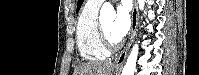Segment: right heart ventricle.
<instances>
[{"label":"right heart ventricle","mask_w":199,"mask_h":75,"mask_svg":"<svg viewBox=\"0 0 199 75\" xmlns=\"http://www.w3.org/2000/svg\"><path fill=\"white\" fill-rule=\"evenodd\" d=\"M98 6L87 4L82 10L76 27V39L81 57L90 62L104 60L108 50L104 48L98 34Z\"/></svg>","instance_id":"right-heart-ventricle-1"}]
</instances>
